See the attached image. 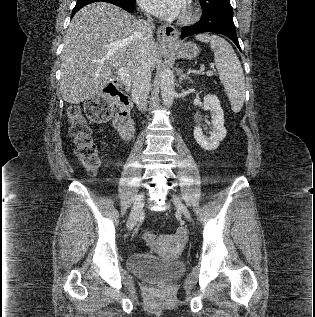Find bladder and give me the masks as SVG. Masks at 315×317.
<instances>
[{"label": "bladder", "instance_id": "1", "mask_svg": "<svg viewBox=\"0 0 315 317\" xmlns=\"http://www.w3.org/2000/svg\"><path fill=\"white\" fill-rule=\"evenodd\" d=\"M128 269L147 281H172L186 268L181 260H165L148 253H134L127 260Z\"/></svg>", "mask_w": 315, "mask_h": 317}]
</instances>
